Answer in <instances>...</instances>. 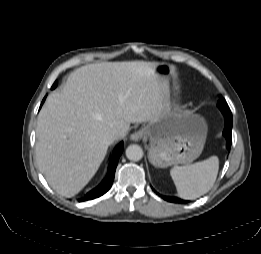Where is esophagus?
<instances>
[{"label": "esophagus", "mask_w": 261, "mask_h": 254, "mask_svg": "<svg viewBox=\"0 0 261 254\" xmlns=\"http://www.w3.org/2000/svg\"><path fill=\"white\" fill-rule=\"evenodd\" d=\"M144 133L142 131H136L131 134L130 139L132 141H140L143 138Z\"/></svg>", "instance_id": "34e87169"}]
</instances>
